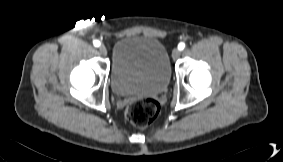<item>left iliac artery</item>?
<instances>
[{"instance_id": "obj_1", "label": "left iliac artery", "mask_w": 283, "mask_h": 162, "mask_svg": "<svg viewBox=\"0 0 283 162\" xmlns=\"http://www.w3.org/2000/svg\"><path fill=\"white\" fill-rule=\"evenodd\" d=\"M184 48H185V43H183V42L179 43L178 49L183 50Z\"/></svg>"}]
</instances>
